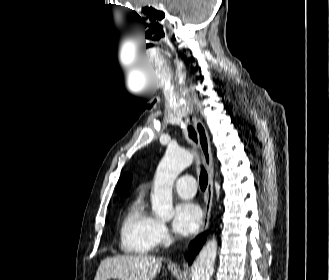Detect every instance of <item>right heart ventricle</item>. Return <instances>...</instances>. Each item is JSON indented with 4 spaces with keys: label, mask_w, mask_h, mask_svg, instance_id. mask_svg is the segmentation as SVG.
<instances>
[{
    "label": "right heart ventricle",
    "mask_w": 329,
    "mask_h": 280,
    "mask_svg": "<svg viewBox=\"0 0 329 280\" xmlns=\"http://www.w3.org/2000/svg\"><path fill=\"white\" fill-rule=\"evenodd\" d=\"M157 220L146 210L139 197L132 202L121 225V249L125 253L146 255L156 248Z\"/></svg>",
    "instance_id": "1"
}]
</instances>
